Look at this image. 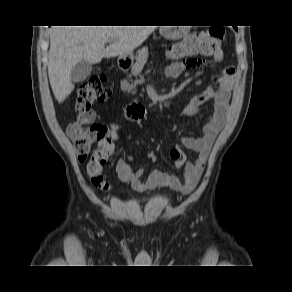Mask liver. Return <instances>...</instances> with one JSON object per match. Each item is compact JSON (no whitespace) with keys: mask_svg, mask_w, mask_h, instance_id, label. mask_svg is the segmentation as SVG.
Returning a JSON list of instances; mask_svg holds the SVG:
<instances>
[{"mask_svg":"<svg viewBox=\"0 0 292 292\" xmlns=\"http://www.w3.org/2000/svg\"><path fill=\"white\" fill-rule=\"evenodd\" d=\"M154 26H54L50 31L48 76L59 103L74 89L72 69L81 61L127 56L154 31ZM108 41L112 43L105 48Z\"/></svg>","mask_w":292,"mask_h":292,"instance_id":"obj_1","label":"liver"}]
</instances>
